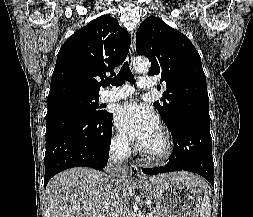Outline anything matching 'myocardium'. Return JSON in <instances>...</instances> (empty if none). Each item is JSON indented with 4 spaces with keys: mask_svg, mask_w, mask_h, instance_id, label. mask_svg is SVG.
Listing matches in <instances>:
<instances>
[{
    "mask_svg": "<svg viewBox=\"0 0 253 217\" xmlns=\"http://www.w3.org/2000/svg\"><path fill=\"white\" fill-rule=\"evenodd\" d=\"M158 131L162 137L163 148L157 153H151L145 150L143 147H139L141 155L149 162L160 163L167 160L173 151V140L169 130L163 126L158 128Z\"/></svg>",
    "mask_w": 253,
    "mask_h": 217,
    "instance_id": "f54148a6",
    "label": "myocardium"
}]
</instances>
